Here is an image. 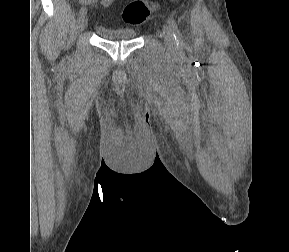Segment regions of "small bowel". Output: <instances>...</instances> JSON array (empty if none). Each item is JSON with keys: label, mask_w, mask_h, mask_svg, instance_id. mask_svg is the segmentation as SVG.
Listing matches in <instances>:
<instances>
[{"label": "small bowel", "mask_w": 289, "mask_h": 252, "mask_svg": "<svg viewBox=\"0 0 289 252\" xmlns=\"http://www.w3.org/2000/svg\"><path fill=\"white\" fill-rule=\"evenodd\" d=\"M115 0H79V3L83 6L101 5L106 8L109 7Z\"/></svg>", "instance_id": "1"}]
</instances>
